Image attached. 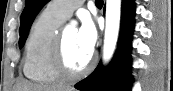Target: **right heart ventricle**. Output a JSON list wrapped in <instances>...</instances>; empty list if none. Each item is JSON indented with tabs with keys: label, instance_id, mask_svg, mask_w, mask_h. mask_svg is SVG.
<instances>
[{
	"label": "right heart ventricle",
	"instance_id": "right-heart-ventricle-1",
	"mask_svg": "<svg viewBox=\"0 0 173 91\" xmlns=\"http://www.w3.org/2000/svg\"><path fill=\"white\" fill-rule=\"evenodd\" d=\"M63 22V19L46 9L33 23L25 44L23 59V72L28 79L48 85L61 80L52 69L50 57Z\"/></svg>",
	"mask_w": 173,
	"mask_h": 91
}]
</instances>
